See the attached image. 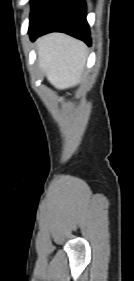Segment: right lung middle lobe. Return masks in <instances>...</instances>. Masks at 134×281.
<instances>
[{
	"instance_id": "right-lung-middle-lobe-1",
	"label": "right lung middle lobe",
	"mask_w": 134,
	"mask_h": 281,
	"mask_svg": "<svg viewBox=\"0 0 134 281\" xmlns=\"http://www.w3.org/2000/svg\"><path fill=\"white\" fill-rule=\"evenodd\" d=\"M38 0H32V10L35 7V5L37 4Z\"/></svg>"
}]
</instances>
